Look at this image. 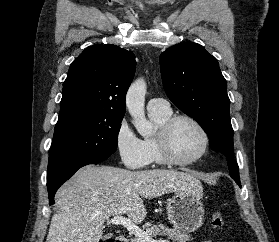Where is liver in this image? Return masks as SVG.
Here are the masks:
<instances>
[{"label":"liver","mask_w":279,"mask_h":242,"mask_svg":"<svg viewBox=\"0 0 279 242\" xmlns=\"http://www.w3.org/2000/svg\"><path fill=\"white\" fill-rule=\"evenodd\" d=\"M184 191L200 194V181L174 170L85 166L57 191L58 212L52 216L46 242H99L109 217L126 214L139 224L147 214L142 198Z\"/></svg>","instance_id":"6515ba94"}]
</instances>
